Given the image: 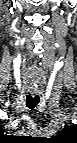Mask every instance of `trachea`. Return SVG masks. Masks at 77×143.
Returning <instances> with one entry per match:
<instances>
[{
	"label": "trachea",
	"mask_w": 77,
	"mask_h": 143,
	"mask_svg": "<svg viewBox=\"0 0 77 143\" xmlns=\"http://www.w3.org/2000/svg\"><path fill=\"white\" fill-rule=\"evenodd\" d=\"M40 101V98L39 96H31V95H28L27 98H26V105L29 109H34L37 104L39 103Z\"/></svg>",
	"instance_id": "trachea-1"
}]
</instances>
